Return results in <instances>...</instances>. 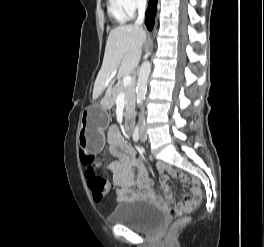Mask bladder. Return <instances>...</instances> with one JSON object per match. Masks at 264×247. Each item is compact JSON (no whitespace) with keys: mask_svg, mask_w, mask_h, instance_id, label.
I'll return each instance as SVG.
<instances>
[{"mask_svg":"<svg viewBox=\"0 0 264 247\" xmlns=\"http://www.w3.org/2000/svg\"><path fill=\"white\" fill-rule=\"evenodd\" d=\"M109 218L135 231L150 233L164 225L166 213L150 202L134 200L116 206Z\"/></svg>","mask_w":264,"mask_h":247,"instance_id":"bladder-1","label":"bladder"}]
</instances>
